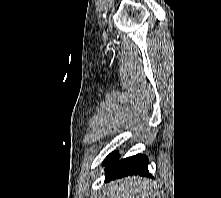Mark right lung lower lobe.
Segmentation results:
<instances>
[{
  "label": "right lung lower lobe",
  "instance_id": "1",
  "mask_svg": "<svg viewBox=\"0 0 221 198\" xmlns=\"http://www.w3.org/2000/svg\"><path fill=\"white\" fill-rule=\"evenodd\" d=\"M148 159L138 154L120 161L113 158L106 164V180L121 178L128 175H141L152 177L147 169Z\"/></svg>",
  "mask_w": 221,
  "mask_h": 198
}]
</instances>
